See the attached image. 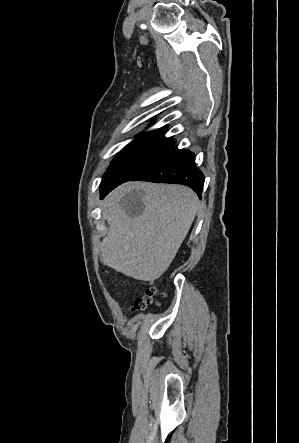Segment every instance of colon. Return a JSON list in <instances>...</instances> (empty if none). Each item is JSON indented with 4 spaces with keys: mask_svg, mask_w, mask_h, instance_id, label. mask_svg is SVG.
<instances>
[{
    "mask_svg": "<svg viewBox=\"0 0 299 443\" xmlns=\"http://www.w3.org/2000/svg\"><path fill=\"white\" fill-rule=\"evenodd\" d=\"M160 295L159 290L155 286H151L146 290V294L134 302L133 310L141 311L147 307L157 304V297Z\"/></svg>",
    "mask_w": 299,
    "mask_h": 443,
    "instance_id": "1",
    "label": "colon"
}]
</instances>
